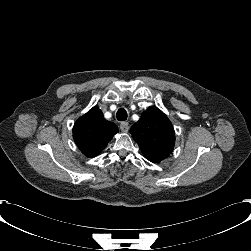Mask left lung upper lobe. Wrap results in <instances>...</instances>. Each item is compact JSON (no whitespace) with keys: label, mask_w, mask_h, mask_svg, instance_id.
I'll return each instance as SVG.
<instances>
[{"label":"left lung upper lobe","mask_w":251,"mask_h":251,"mask_svg":"<svg viewBox=\"0 0 251 251\" xmlns=\"http://www.w3.org/2000/svg\"><path fill=\"white\" fill-rule=\"evenodd\" d=\"M130 133L144 156L153 163L162 161L173 151L174 128L167 116L155 106L142 113Z\"/></svg>","instance_id":"left-lung-upper-lobe-1"}]
</instances>
